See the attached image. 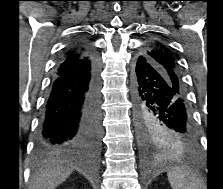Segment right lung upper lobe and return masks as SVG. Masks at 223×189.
I'll use <instances>...</instances> for the list:
<instances>
[{"instance_id": "right-lung-upper-lobe-1", "label": "right lung upper lobe", "mask_w": 223, "mask_h": 189, "mask_svg": "<svg viewBox=\"0 0 223 189\" xmlns=\"http://www.w3.org/2000/svg\"><path fill=\"white\" fill-rule=\"evenodd\" d=\"M96 58L89 45L82 41H76L64 53L59 61L55 74L79 75L87 71Z\"/></svg>"}]
</instances>
